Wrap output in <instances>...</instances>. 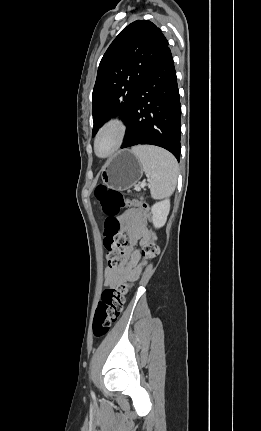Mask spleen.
Wrapping results in <instances>:
<instances>
[{
	"label": "spleen",
	"instance_id": "spleen-1",
	"mask_svg": "<svg viewBox=\"0 0 261 431\" xmlns=\"http://www.w3.org/2000/svg\"><path fill=\"white\" fill-rule=\"evenodd\" d=\"M131 152L149 177L148 187L152 198L169 197L177 183L178 164L175 157L168 151L153 146H136Z\"/></svg>",
	"mask_w": 261,
	"mask_h": 431
}]
</instances>
